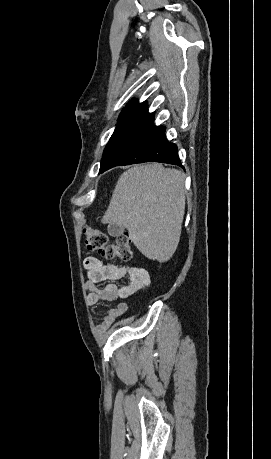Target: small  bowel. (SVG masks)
Masks as SVG:
<instances>
[{
  "label": "small bowel",
  "mask_w": 271,
  "mask_h": 459,
  "mask_svg": "<svg viewBox=\"0 0 271 459\" xmlns=\"http://www.w3.org/2000/svg\"><path fill=\"white\" fill-rule=\"evenodd\" d=\"M83 265L88 276L86 289L89 292L87 297L89 305H95L100 301L125 299L144 289L150 282L148 272L142 268L104 264L92 256L87 257ZM122 279H128V284L119 286L112 282ZM104 281L111 282L99 288L98 284ZM126 311L127 305L125 303H119L115 308L109 309L102 321L97 325V331L105 332Z\"/></svg>",
  "instance_id": "obj_1"
}]
</instances>
